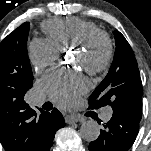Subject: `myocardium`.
I'll use <instances>...</instances> for the list:
<instances>
[{
  "mask_svg": "<svg viewBox=\"0 0 151 151\" xmlns=\"http://www.w3.org/2000/svg\"><path fill=\"white\" fill-rule=\"evenodd\" d=\"M99 47L103 48L102 57L98 61H91L90 57ZM77 50L86 58L82 66L90 74L95 75L104 72L112 61L113 45L111 39L105 32L100 30L90 34L77 46Z\"/></svg>",
  "mask_w": 151,
  "mask_h": 151,
  "instance_id": "f54148a6",
  "label": "myocardium"
}]
</instances>
